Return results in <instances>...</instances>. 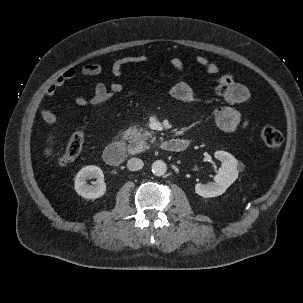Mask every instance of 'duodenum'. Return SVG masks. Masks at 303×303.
<instances>
[{"label": "duodenum", "mask_w": 303, "mask_h": 303, "mask_svg": "<svg viewBox=\"0 0 303 303\" xmlns=\"http://www.w3.org/2000/svg\"><path fill=\"white\" fill-rule=\"evenodd\" d=\"M188 141L180 138H170L161 143V149L165 152L179 153L188 146ZM104 160L110 166H118L125 157V146L122 142L110 143L104 150Z\"/></svg>", "instance_id": "duodenum-1"}]
</instances>
